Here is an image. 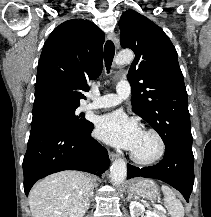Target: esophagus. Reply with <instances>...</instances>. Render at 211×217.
I'll list each match as a JSON object with an SVG mask.
<instances>
[{
  "label": "esophagus",
  "instance_id": "34e87169",
  "mask_svg": "<svg viewBox=\"0 0 211 217\" xmlns=\"http://www.w3.org/2000/svg\"><path fill=\"white\" fill-rule=\"evenodd\" d=\"M108 38H109L112 42H114V44H115L116 46H118V38H117V35H116L114 32H109V33H108ZM109 157H110L111 160H114V159L118 158V154L113 153V152H110V153H109Z\"/></svg>",
  "mask_w": 211,
  "mask_h": 217
}]
</instances>
